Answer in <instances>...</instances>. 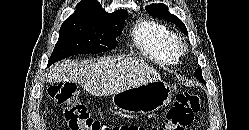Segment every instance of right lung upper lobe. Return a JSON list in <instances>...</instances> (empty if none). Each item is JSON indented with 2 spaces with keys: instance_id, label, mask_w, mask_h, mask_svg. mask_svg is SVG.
Segmentation results:
<instances>
[{
  "instance_id": "1",
  "label": "right lung upper lobe",
  "mask_w": 249,
  "mask_h": 130,
  "mask_svg": "<svg viewBox=\"0 0 249 130\" xmlns=\"http://www.w3.org/2000/svg\"><path fill=\"white\" fill-rule=\"evenodd\" d=\"M100 8L101 5L97 0H81L76 6V12H93Z\"/></svg>"
}]
</instances>
